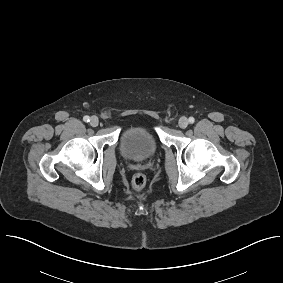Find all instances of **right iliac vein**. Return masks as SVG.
Returning a JSON list of instances; mask_svg holds the SVG:
<instances>
[{"label":"right iliac vein","instance_id":"right-iliac-vein-1","mask_svg":"<svg viewBox=\"0 0 283 283\" xmlns=\"http://www.w3.org/2000/svg\"><path fill=\"white\" fill-rule=\"evenodd\" d=\"M90 124L93 127H96L99 124V119L96 116H92L90 119Z\"/></svg>","mask_w":283,"mask_h":283}]
</instances>
